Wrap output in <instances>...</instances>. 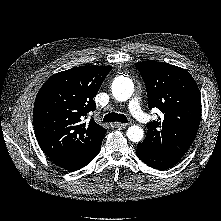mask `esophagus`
<instances>
[{"instance_id":"1","label":"esophagus","mask_w":221,"mask_h":221,"mask_svg":"<svg viewBox=\"0 0 221 221\" xmlns=\"http://www.w3.org/2000/svg\"><path fill=\"white\" fill-rule=\"evenodd\" d=\"M113 125L117 128H125L128 126V124L120 123V122H115Z\"/></svg>"}]
</instances>
